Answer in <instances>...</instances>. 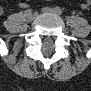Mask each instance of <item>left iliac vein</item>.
Returning <instances> with one entry per match:
<instances>
[{
	"label": "left iliac vein",
	"instance_id": "4c4485c4",
	"mask_svg": "<svg viewBox=\"0 0 91 91\" xmlns=\"http://www.w3.org/2000/svg\"><path fill=\"white\" fill-rule=\"evenodd\" d=\"M42 11H43L44 13H53V14H57L56 11H55V9L50 8V7H44V8L42 9Z\"/></svg>",
	"mask_w": 91,
	"mask_h": 91
}]
</instances>
